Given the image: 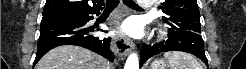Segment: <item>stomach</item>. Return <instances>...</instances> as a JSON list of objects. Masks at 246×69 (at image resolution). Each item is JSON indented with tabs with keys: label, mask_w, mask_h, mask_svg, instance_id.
<instances>
[{
	"label": "stomach",
	"mask_w": 246,
	"mask_h": 69,
	"mask_svg": "<svg viewBox=\"0 0 246 69\" xmlns=\"http://www.w3.org/2000/svg\"><path fill=\"white\" fill-rule=\"evenodd\" d=\"M167 64L163 59H155L151 64V69H166Z\"/></svg>",
	"instance_id": "obj_1"
}]
</instances>
